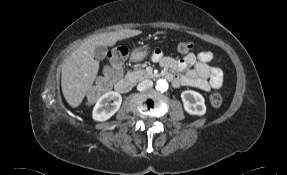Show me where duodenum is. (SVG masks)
Returning <instances> with one entry per match:
<instances>
[{
    "instance_id": "obj_1",
    "label": "duodenum",
    "mask_w": 287,
    "mask_h": 175,
    "mask_svg": "<svg viewBox=\"0 0 287 175\" xmlns=\"http://www.w3.org/2000/svg\"><path fill=\"white\" fill-rule=\"evenodd\" d=\"M108 77L110 80L114 79V76H112L111 74H109ZM166 78L167 80L172 81L169 74L166 75ZM132 86L133 82L129 78H124L116 82V89L119 92H128L132 89Z\"/></svg>"
}]
</instances>
